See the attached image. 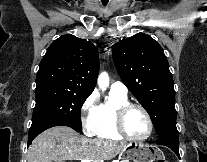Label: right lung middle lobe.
Segmentation results:
<instances>
[{
    "mask_svg": "<svg viewBox=\"0 0 207 162\" xmlns=\"http://www.w3.org/2000/svg\"><path fill=\"white\" fill-rule=\"evenodd\" d=\"M36 105L32 125L43 122H59L77 132L82 131L80 109L89 94L57 87L36 88Z\"/></svg>",
    "mask_w": 207,
    "mask_h": 162,
    "instance_id": "dd1d6c3e",
    "label": "right lung middle lobe"
}]
</instances>
